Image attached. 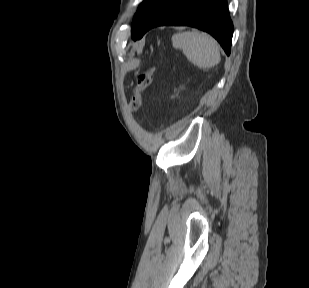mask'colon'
<instances>
[{
	"label": "colon",
	"instance_id": "5ec220e1",
	"mask_svg": "<svg viewBox=\"0 0 309 288\" xmlns=\"http://www.w3.org/2000/svg\"><path fill=\"white\" fill-rule=\"evenodd\" d=\"M153 72L154 69L150 67L147 69H142L136 73V87L130 101V108L132 111L138 110L141 106L143 93L152 83Z\"/></svg>",
	"mask_w": 309,
	"mask_h": 288
}]
</instances>
